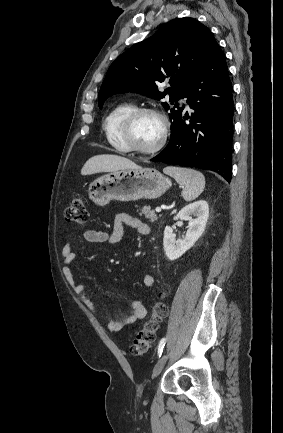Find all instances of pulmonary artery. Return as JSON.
<instances>
[{"label":"pulmonary artery","instance_id":"1","mask_svg":"<svg viewBox=\"0 0 283 433\" xmlns=\"http://www.w3.org/2000/svg\"><path fill=\"white\" fill-rule=\"evenodd\" d=\"M179 103L183 106H185L186 110H190V103L188 100V97H182L179 99Z\"/></svg>","mask_w":283,"mask_h":433}]
</instances>
